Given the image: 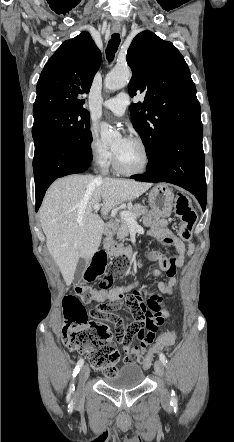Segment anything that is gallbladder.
<instances>
[{
	"label": "gallbladder",
	"instance_id": "obj_1",
	"mask_svg": "<svg viewBox=\"0 0 234 442\" xmlns=\"http://www.w3.org/2000/svg\"><path fill=\"white\" fill-rule=\"evenodd\" d=\"M85 269H86V262L84 259H80L77 266H76V270L74 273V280L76 283H79L82 281V277H83Z\"/></svg>",
	"mask_w": 234,
	"mask_h": 442
}]
</instances>
